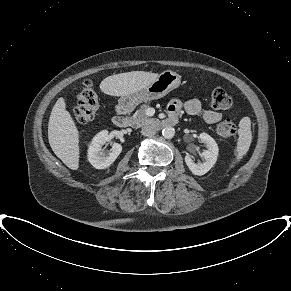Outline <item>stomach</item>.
Masks as SVG:
<instances>
[{"label":"stomach","mask_w":291,"mask_h":291,"mask_svg":"<svg viewBox=\"0 0 291 291\" xmlns=\"http://www.w3.org/2000/svg\"><path fill=\"white\" fill-rule=\"evenodd\" d=\"M180 83L181 76L179 74L171 70L164 71L147 87L135 93L121 96L118 100V106L122 110H132L142 102L162 98L179 87Z\"/></svg>","instance_id":"obj_1"}]
</instances>
